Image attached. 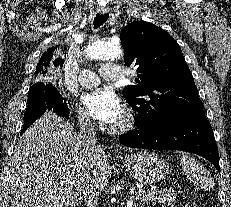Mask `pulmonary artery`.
I'll return each mask as SVG.
<instances>
[{
  "label": "pulmonary artery",
  "mask_w": 231,
  "mask_h": 207,
  "mask_svg": "<svg viewBox=\"0 0 231 207\" xmlns=\"http://www.w3.org/2000/svg\"><path fill=\"white\" fill-rule=\"evenodd\" d=\"M124 75L121 66L116 64H106L100 68L99 74L89 69L82 70L79 74L78 80L82 86L92 87L100 82V77L108 81H116L124 77Z\"/></svg>",
  "instance_id": "e3ab8cb5"
}]
</instances>
